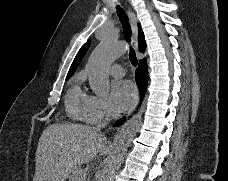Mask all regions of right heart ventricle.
Returning <instances> with one entry per match:
<instances>
[{
  "label": "right heart ventricle",
  "instance_id": "right-heart-ventricle-1",
  "mask_svg": "<svg viewBox=\"0 0 228 181\" xmlns=\"http://www.w3.org/2000/svg\"><path fill=\"white\" fill-rule=\"evenodd\" d=\"M87 80H90L92 83L91 74L86 73V69L76 72L73 76L71 89L67 95L68 111L73 117L78 119H85L86 115L85 106L89 96L82 89V86Z\"/></svg>",
  "mask_w": 228,
  "mask_h": 181
}]
</instances>
